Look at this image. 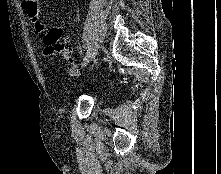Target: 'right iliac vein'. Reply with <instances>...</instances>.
I'll return each instance as SVG.
<instances>
[{
    "mask_svg": "<svg viewBox=\"0 0 221 174\" xmlns=\"http://www.w3.org/2000/svg\"><path fill=\"white\" fill-rule=\"evenodd\" d=\"M97 48L98 45H96L92 50L88 52V59H85L83 61L82 68L86 67L90 61H96Z\"/></svg>",
    "mask_w": 221,
    "mask_h": 174,
    "instance_id": "1",
    "label": "right iliac vein"
}]
</instances>
